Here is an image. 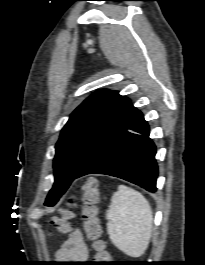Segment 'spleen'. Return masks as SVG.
Returning a JSON list of instances; mask_svg holds the SVG:
<instances>
[{"instance_id": "1", "label": "spleen", "mask_w": 205, "mask_h": 265, "mask_svg": "<svg viewBox=\"0 0 205 265\" xmlns=\"http://www.w3.org/2000/svg\"><path fill=\"white\" fill-rule=\"evenodd\" d=\"M107 231L112 243L131 257L143 255L148 248L153 214L148 200L138 191L119 185L106 212Z\"/></svg>"}]
</instances>
